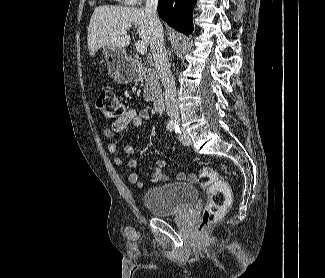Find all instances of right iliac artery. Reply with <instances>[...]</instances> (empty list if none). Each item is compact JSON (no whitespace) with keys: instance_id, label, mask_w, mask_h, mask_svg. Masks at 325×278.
Here are the masks:
<instances>
[{"instance_id":"82829eb1","label":"right iliac artery","mask_w":325,"mask_h":278,"mask_svg":"<svg viewBox=\"0 0 325 278\" xmlns=\"http://www.w3.org/2000/svg\"><path fill=\"white\" fill-rule=\"evenodd\" d=\"M175 129H176V125H173V124H168V125H167V130H168V131L171 132V131H173V130H175Z\"/></svg>"}]
</instances>
